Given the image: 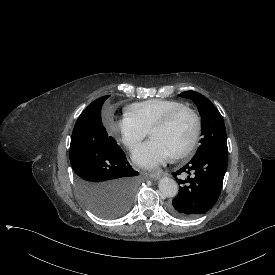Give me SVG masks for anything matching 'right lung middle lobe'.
<instances>
[{"label":"right lung middle lobe","mask_w":275,"mask_h":275,"mask_svg":"<svg viewBox=\"0 0 275 275\" xmlns=\"http://www.w3.org/2000/svg\"><path fill=\"white\" fill-rule=\"evenodd\" d=\"M108 97L96 99L79 116L71 138L70 163L85 204L96 215L113 219L128 212L139 173L102 124L101 108Z\"/></svg>","instance_id":"dd1d6c3e"}]
</instances>
